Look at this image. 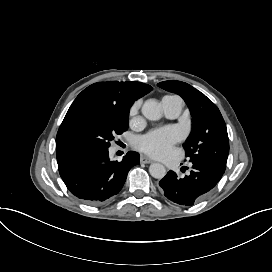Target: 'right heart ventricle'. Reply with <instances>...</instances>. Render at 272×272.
Listing matches in <instances>:
<instances>
[{
  "label": "right heart ventricle",
  "mask_w": 272,
  "mask_h": 272,
  "mask_svg": "<svg viewBox=\"0 0 272 272\" xmlns=\"http://www.w3.org/2000/svg\"><path fill=\"white\" fill-rule=\"evenodd\" d=\"M161 110L165 113L164 107L161 105ZM169 129L172 131L173 135L174 132L177 130V126L176 125H172L169 127Z\"/></svg>",
  "instance_id": "e07e8e85"
}]
</instances>
